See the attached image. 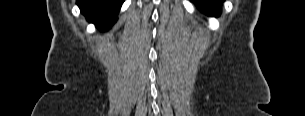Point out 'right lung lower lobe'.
Segmentation results:
<instances>
[{
	"label": "right lung lower lobe",
	"mask_w": 305,
	"mask_h": 116,
	"mask_svg": "<svg viewBox=\"0 0 305 116\" xmlns=\"http://www.w3.org/2000/svg\"><path fill=\"white\" fill-rule=\"evenodd\" d=\"M124 0H77L81 13L101 31L107 30L116 20Z\"/></svg>",
	"instance_id": "98d812e1"
}]
</instances>
